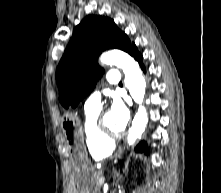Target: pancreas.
I'll return each mask as SVG.
<instances>
[{
    "instance_id": "obj_1",
    "label": "pancreas",
    "mask_w": 221,
    "mask_h": 193,
    "mask_svg": "<svg viewBox=\"0 0 221 193\" xmlns=\"http://www.w3.org/2000/svg\"><path fill=\"white\" fill-rule=\"evenodd\" d=\"M101 177H102V171L96 172V175H95L96 190H100V188H101V185L99 183V180Z\"/></svg>"
}]
</instances>
